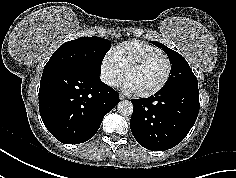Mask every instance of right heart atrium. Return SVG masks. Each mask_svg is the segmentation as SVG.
Masks as SVG:
<instances>
[{
  "mask_svg": "<svg viewBox=\"0 0 236 178\" xmlns=\"http://www.w3.org/2000/svg\"><path fill=\"white\" fill-rule=\"evenodd\" d=\"M123 69L114 60L111 53H106L100 63V77L108 86L118 85L122 79Z\"/></svg>",
  "mask_w": 236,
  "mask_h": 178,
  "instance_id": "d8ad5b80",
  "label": "right heart atrium"
}]
</instances>
